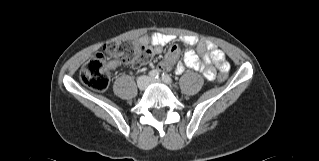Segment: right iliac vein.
<instances>
[{
    "label": "right iliac vein",
    "instance_id": "1",
    "mask_svg": "<svg viewBox=\"0 0 319 161\" xmlns=\"http://www.w3.org/2000/svg\"><path fill=\"white\" fill-rule=\"evenodd\" d=\"M137 85L140 90H145L148 85V78L146 76L140 77L138 79Z\"/></svg>",
    "mask_w": 319,
    "mask_h": 161
}]
</instances>
